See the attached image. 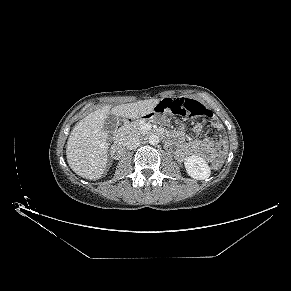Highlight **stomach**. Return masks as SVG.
Here are the masks:
<instances>
[{
    "label": "stomach",
    "instance_id": "0dacf381",
    "mask_svg": "<svg viewBox=\"0 0 291 291\" xmlns=\"http://www.w3.org/2000/svg\"><path fill=\"white\" fill-rule=\"evenodd\" d=\"M144 118H147L150 121H157V120H162L163 117L155 113L154 111H151L147 114L144 115Z\"/></svg>",
    "mask_w": 291,
    "mask_h": 291
}]
</instances>
